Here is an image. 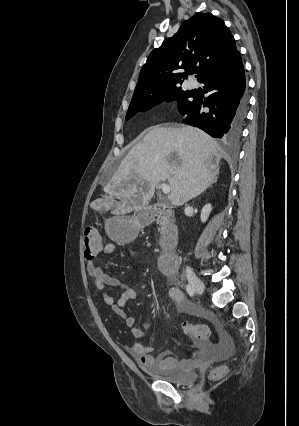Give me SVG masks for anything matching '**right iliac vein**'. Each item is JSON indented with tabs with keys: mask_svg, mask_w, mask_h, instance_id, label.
I'll list each match as a JSON object with an SVG mask.
<instances>
[{
	"mask_svg": "<svg viewBox=\"0 0 299 426\" xmlns=\"http://www.w3.org/2000/svg\"><path fill=\"white\" fill-rule=\"evenodd\" d=\"M186 276L193 290L199 295L203 294L205 289L204 283L196 276V274L191 269H188L186 271Z\"/></svg>",
	"mask_w": 299,
	"mask_h": 426,
	"instance_id": "1",
	"label": "right iliac vein"
}]
</instances>
